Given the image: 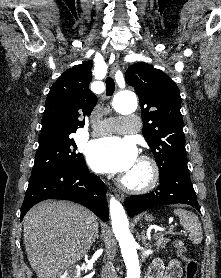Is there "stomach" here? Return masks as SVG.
<instances>
[{
  "label": "stomach",
  "instance_id": "1",
  "mask_svg": "<svg viewBox=\"0 0 221 278\" xmlns=\"http://www.w3.org/2000/svg\"><path fill=\"white\" fill-rule=\"evenodd\" d=\"M145 220L148 222L153 221V217L151 215H146Z\"/></svg>",
  "mask_w": 221,
  "mask_h": 278
}]
</instances>
